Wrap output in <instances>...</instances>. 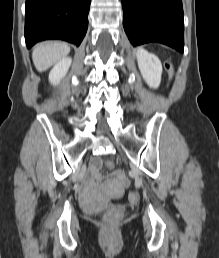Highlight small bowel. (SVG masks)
<instances>
[{"label":"small bowel","instance_id":"1","mask_svg":"<svg viewBox=\"0 0 219 258\" xmlns=\"http://www.w3.org/2000/svg\"><path fill=\"white\" fill-rule=\"evenodd\" d=\"M101 160L94 159L90 169V175L85 180L83 187H82V194L84 198H90L96 192V186L93 183V178L99 175ZM127 176V171H118V174H112V179H120L123 184H132V179H124Z\"/></svg>","mask_w":219,"mask_h":258}]
</instances>
